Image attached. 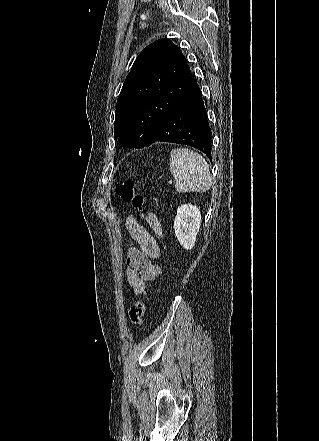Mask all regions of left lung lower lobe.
<instances>
[{
    "instance_id": "0a47b994",
    "label": "left lung lower lobe",
    "mask_w": 319,
    "mask_h": 441,
    "mask_svg": "<svg viewBox=\"0 0 319 441\" xmlns=\"http://www.w3.org/2000/svg\"><path fill=\"white\" fill-rule=\"evenodd\" d=\"M211 138L202 93L193 79L180 101L160 125L152 143L160 141L189 145L212 159Z\"/></svg>"
}]
</instances>
